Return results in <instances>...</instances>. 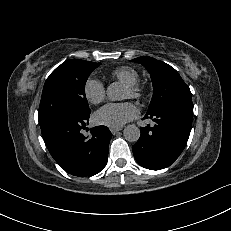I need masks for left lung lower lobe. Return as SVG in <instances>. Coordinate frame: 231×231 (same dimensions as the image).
<instances>
[{"label": "left lung lower lobe", "instance_id": "left-lung-lower-lobe-1", "mask_svg": "<svg viewBox=\"0 0 231 231\" xmlns=\"http://www.w3.org/2000/svg\"><path fill=\"white\" fill-rule=\"evenodd\" d=\"M155 122L141 128V135L132 151L144 168L160 170L170 166L183 151L191 130L192 99L175 98L164 102L144 117Z\"/></svg>", "mask_w": 231, "mask_h": 231}]
</instances>
